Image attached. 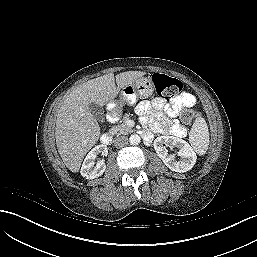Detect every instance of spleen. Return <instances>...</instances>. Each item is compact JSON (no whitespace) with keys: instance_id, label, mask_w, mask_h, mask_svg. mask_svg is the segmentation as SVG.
Masks as SVG:
<instances>
[{"instance_id":"3e777b00","label":"spleen","mask_w":257,"mask_h":257,"mask_svg":"<svg viewBox=\"0 0 257 257\" xmlns=\"http://www.w3.org/2000/svg\"><path fill=\"white\" fill-rule=\"evenodd\" d=\"M192 149L199 155H204L209 145V131L204 118L198 117L189 133Z\"/></svg>"}]
</instances>
